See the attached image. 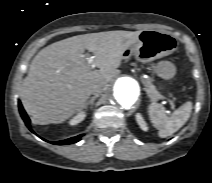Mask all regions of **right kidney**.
Returning a JSON list of instances; mask_svg holds the SVG:
<instances>
[{
  "label": "right kidney",
  "instance_id": "right-kidney-1",
  "mask_svg": "<svg viewBox=\"0 0 212 183\" xmlns=\"http://www.w3.org/2000/svg\"><path fill=\"white\" fill-rule=\"evenodd\" d=\"M85 116L86 115L84 112H80L70 120L69 124L72 126L77 125L78 123L82 122L85 119Z\"/></svg>",
  "mask_w": 212,
  "mask_h": 183
}]
</instances>
